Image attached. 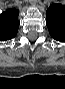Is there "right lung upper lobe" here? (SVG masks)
<instances>
[{
    "label": "right lung upper lobe",
    "instance_id": "1",
    "mask_svg": "<svg viewBox=\"0 0 65 89\" xmlns=\"http://www.w3.org/2000/svg\"><path fill=\"white\" fill-rule=\"evenodd\" d=\"M18 15L19 11L16 9H8L0 14V41L10 40L17 35Z\"/></svg>",
    "mask_w": 65,
    "mask_h": 89
}]
</instances>
